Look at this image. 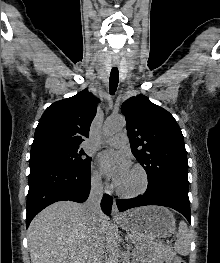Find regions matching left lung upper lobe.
<instances>
[{
	"label": "left lung upper lobe",
	"mask_w": 220,
	"mask_h": 263,
	"mask_svg": "<svg viewBox=\"0 0 220 263\" xmlns=\"http://www.w3.org/2000/svg\"><path fill=\"white\" fill-rule=\"evenodd\" d=\"M121 111L132 153L148 175V186L169 182L188 189L187 152L174 117L144 95L128 99Z\"/></svg>",
	"instance_id": "obj_1"
}]
</instances>
